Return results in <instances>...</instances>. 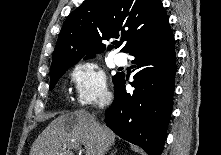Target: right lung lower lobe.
I'll return each mask as SVG.
<instances>
[{
  "instance_id": "right-lung-lower-lobe-1",
  "label": "right lung lower lobe",
  "mask_w": 221,
  "mask_h": 155,
  "mask_svg": "<svg viewBox=\"0 0 221 155\" xmlns=\"http://www.w3.org/2000/svg\"><path fill=\"white\" fill-rule=\"evenodd\" d=\"M136 71L133 93L125 90L124 74L113 80L115 99L105 114L106 125L121 138L161 155L172 110L175 83L174 35L169 22L144 35L129 52Z\"/></svg>"
}]
</instances>
